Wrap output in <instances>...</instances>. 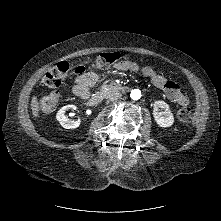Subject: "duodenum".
<instances>
[{
    "mask_svg": "<svg viewBox=\"0 0 221 221\" xmlns=\"http://www.w3.org/2000/svg\"><path fill=\"white\" fill-rule=\"evenodd\" d=\"M117 89H120V88L119 87H107V88L100 90L94 95H88V96L83 97L82 99L85 101L86 104H89V105L98 104L105 98V96L109 92H111L112 90H117Z\"/></svg>",
    "mask_w": 221,
    "mask_h": 221,
    "instance_id": "410a0bca",
    "label": "duodenum"
}]
</instances>
